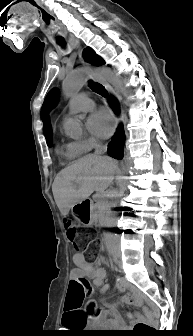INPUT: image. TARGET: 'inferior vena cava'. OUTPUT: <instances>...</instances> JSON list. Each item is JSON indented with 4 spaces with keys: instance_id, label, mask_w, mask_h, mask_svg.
Returning a JSON list of instances; mask_svg holds the SVG:
<instances>
[{
    "instance_id": "602c4592",
    "label": "inferior vena cava",
    "mask_w": 193,
    "mask_h": 336,
    "mask_svg": "<svg viewBox=\"0 0 193 336\" xmlns=\"http://www.w3.org/2000/svg\"><path fill=\"white\" fill-rule=\"evenodd\" d=\"M107 151V145H102L99 143H95V153L96 155L104 154ZM110 181L113 180V176L109 178Z\"/></svg>"
}]
</instances>
